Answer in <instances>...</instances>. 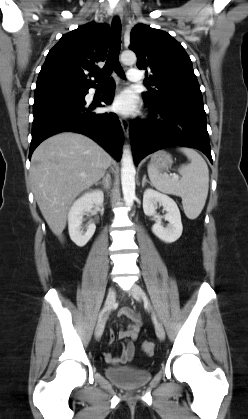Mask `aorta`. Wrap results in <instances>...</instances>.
<instances>
[{"mask_svg": "<svg viewBox=\"0 0 248 419\" xmlns=\"http://www.w3.org/2000/svg\"><path fill=\"white\" fill-rule=\"evenodd\" d=\"M136 55L132 51H124L121 54V61L125 65L136 63ZM135 174L136 170L132 155L128 148L123 149L121 159V184L124 201L127 206H132L135 199Z\"/></svg>", "mask_w": 248, "mask_h": 419, "instance_id": "762f6f07", "label": "aorta"}]
</instances>
